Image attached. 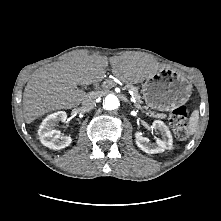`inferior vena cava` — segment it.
I'll list each match as a JSON object with an SVG mask.
<instances>
[{"label": "inferior vena cava", "instance_id": "1", "mask_svg": "<svg viewBox=\"0 0 221 221\" xmlns=\"http://www.w3.org/2000/svg\"><path fill=\"white\" fill-rule=\"evenodd\" d=\"M96 95L88 94L82 101V108L84 111H90L96 104Z\"/></svg>", "mask_w": 221, "mask_h": 221}]
</instances>
